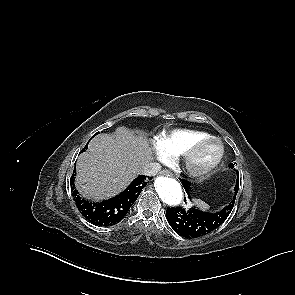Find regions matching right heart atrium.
Wrapping results in <instances>:
<instances>
[{
    "mask_svg": "<svg viewBox=\"0 0 295 295\" xmlns=\"http://www.w3.org/2000/svg\"><path fill=\"white\" fill-rule=\"evenodd\" d=\"M156 153L160 161L162 162L169 161L170 157L160 148L157 142H156Z\"/></svg>",
    "mask_w": 295,
    "mask_h": 295,
    "instance_id": "1",
    "label": "right heart atrium"
}]
</instances>
